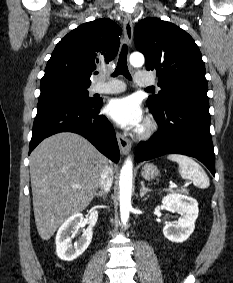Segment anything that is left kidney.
Segmentation results:
<instances>
[{"mask_svg": "<svg viewBox=\"0 0 233 283\" xmlns=\"http://www.w3.org/2000/svg\"><path fill=\"white\" fill-rule=\"evenodd\" d=\"M162 205L166 210L180 212L182 215L176 223H165L164 236L172 242H184L195 229L194 223L199 212L197 201L188 196L169 194L163 198Z\"/></svg>", "mask_w": 233, "mask_h": 283, "instance_id": "5707ae66", "label": "left kidney"}]
</instances>
